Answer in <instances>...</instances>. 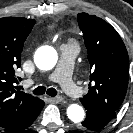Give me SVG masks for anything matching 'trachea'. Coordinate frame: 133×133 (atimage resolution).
Masks as SVG:
<instances>
[{
    "instance_id": "1",
    "label": "trachea",
    "mask_w": 133,
    "mask_h": 133,
    "mask_svg": "<svg viewBox=\"0 0 133 133\" xmlns=\"http://www.w3.org/2000/svg\"><path fill=\"white\" fill-rule=\"evenodd\" d=\"M45 92H46L49 96H52V97H54V96L57 95V91H56V89H54V88H49V89H47V91H46V88H45L44 86H38L37 88H35V89L33 90V93H34L35 95H43Z\"/></svg>"
}]
</instances>
